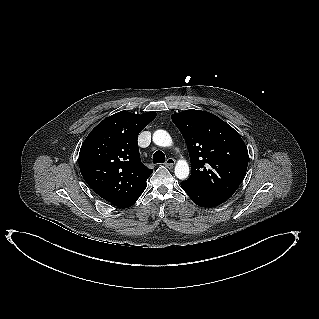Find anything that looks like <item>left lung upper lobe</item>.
I'll return each mask as SVG.
<instances>
[{
    "label": "left lung upper lobe",
    "mask_w": 319,
    "mask_h": 319,
    "mask_svg": "<svg viewBox=\"0 0 319 319\" xmlns=\"http://www.w3.org/2000/svg\"><path fill=\"white\" fill-rule=\"evenodd\" d=\"M171 118L190 154L192 173L184 182L229 199L241 184L248 165V150L240 135L205 111L190 109Z\"/></svg>",
    "instance_id": "left-lung-upper-lobe-1"
}]
</instances>
